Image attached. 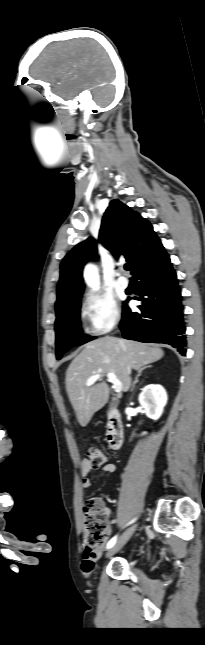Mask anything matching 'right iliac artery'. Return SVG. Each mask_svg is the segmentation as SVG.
<instances>
[{"label": "right iliac artery", "instance_id": "obj_1", "mask_svg": "<svg viewBox=\"0 0 205 645\" xmlns=\"http://www.w3.org/2000/svg\"><path fill=\"white\" fill-rule=\"evenodd\" d=\"M134 521V520H133ZM132 521V522H133ZM117 536H114L107 544V548H111L116 542Z\"/></svg>", "mask_w": 205, "mask_h": 645}]
</instances>
